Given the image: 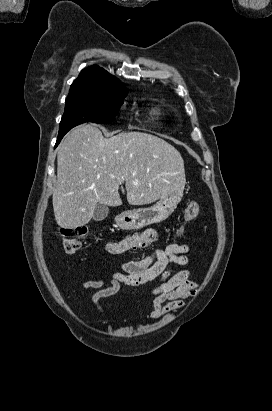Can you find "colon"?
Here are the masks:
<instances>
[{
    "label": "colon",
    "mask_w": 272,
    "mask_h": 411,
    "mask_svg": "<svg viewBox=\"0 0 272 411\" xmlns=\"http://www.w3.org/2000/svg\"><path fill=\"white\" fill-rule=\"evenodd\" d=\"M199 213V205L195 201L189 202L183 213V224L178 229L181 233L184 226L192 222ZM63 238V248L67 254H75L80 249L83 241L89 235V228L87 226H78L76 228H61L59 230Z\"/></svg>",
    "instance_id": "5ec220e1"
}]
</instances>
